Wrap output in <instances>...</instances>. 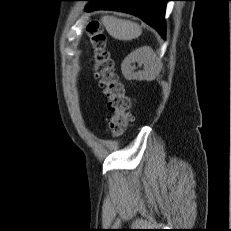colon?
<instances>
[{
	"instance_id": "colon-1",
	"label": "colon",
	"mask_w": 231,
	"mask_h": 231,
	"mask_svg": "<svg viewBox=\"0 0 231 231\" xmlns=\"http://www.w3.org/2000/svg\"><path fill=\"white\" fill-rule=\"evenodd\" d=\"M88 34L94 48V72L99 79L103 93L108 98L109 131L113 137L123 135L132 120V99L114 70V63L106 50V37L97 21L88 25Z\"/></svg>"
}]
</instances>
